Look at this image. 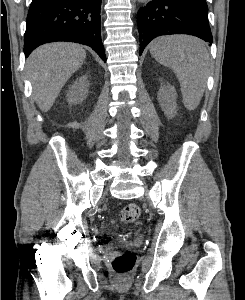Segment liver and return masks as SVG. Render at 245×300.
I'll return each mask as SVG.
<instances>
[{
	"instance_id": "liver-1",
	"label": "liver",
	"mask_w": 245,
	"mask_h": 300,
	"mask_svg": "<svg viewBox=\"0 0 245 300\" xmlns=\"http://www.w3.org/2000/svg\"><path fill=\"white\" fill-rule=\"evenodd\" d=\"M85 50L74 43H50L38 47L26 62L33 95L41 111L54 104L66 81L83 64Z\"/></svg>"
}]
</instances>
